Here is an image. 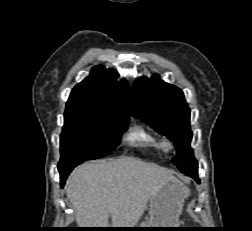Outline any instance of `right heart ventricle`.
<instances>
[{
	"instance_id": "1",
	"label": "right heart ventricle",
	"mask_w": 252,
	"mask_h": 231,
	"mask_svg": "<svg viewBox=\"0 0 252 231\" xmlns=\"http://www.w3.org/2000/svg\"><path fill=\"white\" fill-rule=\"evenodd\" d=\"M127 145L149 152H157L161 149L160 140L156 134L144 126L132 128L124 137Z\"/></svg>"
}]
</instances>
